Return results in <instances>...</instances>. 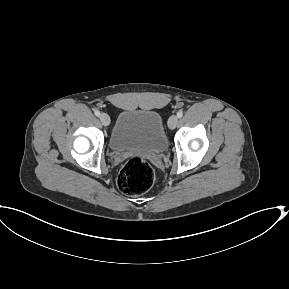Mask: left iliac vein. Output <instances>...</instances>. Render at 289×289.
Wrapping results in <instances>:
<instances>
[{"mask_svg":"<svg viewBox=\"0 0 289 289\" xmlns=\"http://www.w3.org/2000/svg\"><path fill=\"white\" fill-rule=\"evenodd\" d=\"M178 124V117L176 115H172L168 120V127L170 129H174Z\"/></svg>","mask_w":289,"mask_h":289,"instance_id":"left-iliac-vein-1","label":"left iliac vein"}]
</instances>
